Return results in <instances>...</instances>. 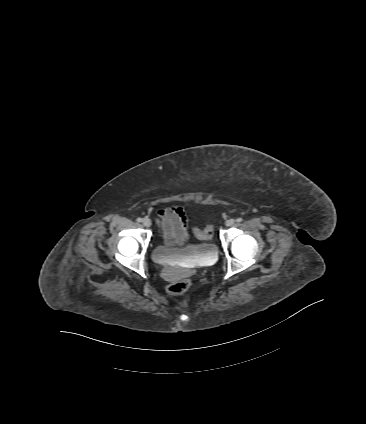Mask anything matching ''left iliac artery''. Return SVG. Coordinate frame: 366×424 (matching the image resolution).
I'll use <instances>...</instances> for the list:
<instances>
[{
	"mask_svg": "<svg viewBox=\"0 0 366 424\" xmlns=\"http://www.w3.org/2000/svg\"><path fill=\"white\" fill-rule=\"evenodd\" d=\"M236 221H237V222H242V221H243V219H242V218H238Z\"/></svg>",
	"mask_w": 366,
	"mask_h": 424,
	"instance_id": "1",
	"label": "left iliac artery"
}]
</instances>
